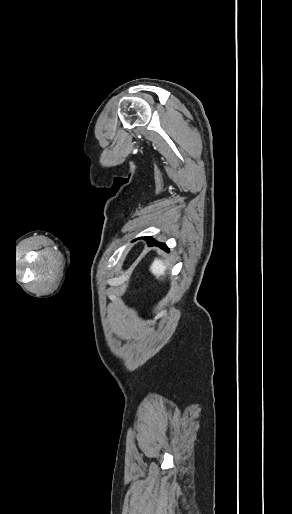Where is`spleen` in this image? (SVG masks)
<instances>
[{"label": "spleen", "instance_id": "3e777b00", "mask_svg": "<svg viewBox=\"0 0 292 514\" xmlns=\"http://www.w3.org/2000/svg\"><path fill=\"white\" fill-rule=\"evenodd\" d=\"M167 262L165 260H159V258H155L150 266V272L157 278V280H161L162 276H165L167 270Z\"/></svg>", "mask_w": 292, "mask_h": 514}]
</instances>
